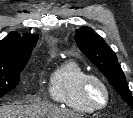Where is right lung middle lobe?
<instances>
[{
    "label": "right lung middle lobe",
    "instance_id": "obj_1",
    "mask_svg": "<svg viewBox=\"0 0 133 118\" xmlns=\"http://www.w3.org/2000/svg\"><path fill=\"white\" fill-rule=\"evenodd\" d=\"M27 63L14 66H0V97L16 87L20 81V73Z\"/></svg>",
    "mask_w": 133,
    "mask_h": 118
}]
</instances>
